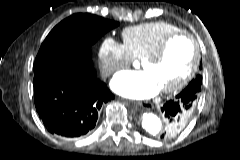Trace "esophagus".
<instances>
[{
    "instance_id": "esophagus-1",
    "label": "esophagus",
    "mask_w": 240,
    "mask_h": 160,
    "mask_svg": "<svg viewBox=\"0 0 240 160\" xmlns=\"http://www.w3.org/2000/svg\"><path fill=\"white\" fill-rule=\"evenodd\" d=\"M137 104L141 105L142 103H140V102H137Z\"/></svg>"
}]
</instances>
